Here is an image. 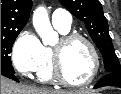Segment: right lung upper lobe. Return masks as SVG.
<instances>
[{
  "label": "right lung upper lobe",
  "instance_id": "cb5924a9",
  "mask_svg": "<svg viewBox=\"0 0 121 94\" xmlns=\"http://www.w3.org/2000/svg\"><path fill=\"white\" fill-rule=\"evenodd\" d=\"M31 7V0H1V34L22 30Z\"/></svg>",
  "mask_w": 121,
  "mask_h": 94
}]
</instances>
